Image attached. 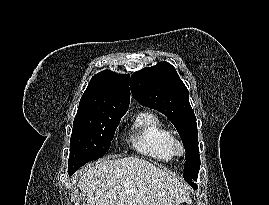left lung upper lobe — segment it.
<instances>
[{"instance_id": "1", "label": "left lung upper lobe", "mask_w": 269, "mask_h": 205, "mask_svg": "<svg viewBox=\"0 0 269 205\" xmlns=\"http://www.w3.org/2000/svg\"><path fill=\"white\" fill-rule=\"evenodd\" d=\"M133 97L143 106L165 114L176 127L185 147L184 179L193 187L200 169L198 133L189 94L175 68L160 62L131 76Z\"/></svg>"}]
</instances>
